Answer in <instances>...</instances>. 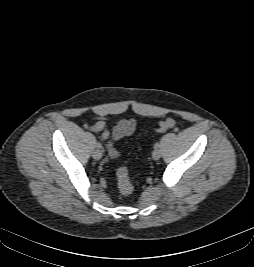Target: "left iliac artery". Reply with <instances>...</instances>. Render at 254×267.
Listing matches in <instances>:
<instances>
[{
  "instance_id": "44dca946",
  "label": "left iliac artery",
  "mask_w": 254,
  "mask_h": 267,
  "mask_svg": "<svg viewBox=\"0 0 254 267\" xmlns=\"http://www.w3.org/2000/svg\"><path fill=\"white\" fill-rule=\"evenodd\" d=\"M159 146H160L159 143H155L154 148H155V149H156V148H159Z\"/></svg>"
}]
</instances>
